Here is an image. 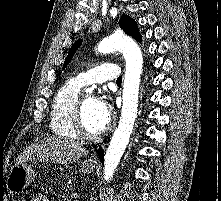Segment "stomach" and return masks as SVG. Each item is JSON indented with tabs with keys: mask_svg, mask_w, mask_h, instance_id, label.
Here are the masks:
<instances>
[{
	"mask_svg": "<svg viewBox=\"0 0 221 201\" xmlns=\"http://www.w3.org/2000/svg\"><path fill=\"white\" fill-rule=\"evenodd\" d=\"M94 169L95 164L87 160L81 164V171L83 173L90 174ZM36 176L37 173L31 165L25 162H17L9 172L6 186L10 193L19 194L34 181Z\"/></svg>",
	"mask_w": 221,
	"mask_h": 201,
	"instance_id": "obj_1",
	"label": "stomach"
}]
</instances>
